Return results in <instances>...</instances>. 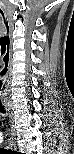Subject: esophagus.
I'll list each match as a JSON object with an SVG mask.
<instances>
[{
  "mask_svg": "<svg viewBox=\"0 0 74 154\" xmlns=\"http://www.w3.org/2000/svg\"><path fill=\"white\" fill-rule=\"evenodd\" d=\"M6 111L8 112L9 114V117H10V122L12 120V116L10 114V108L6 109ZM9 133H10V138L8 139V142H9V145L11 147H13V145L15 144L14 141H15V129L13 127V125H11L10 129H9Z\"/></svg>",
  "mask_w": 74,
  "mask_h": 154,
  "instance_id": "34e87169",
  "label": "esophagus"
}]
</instances>
